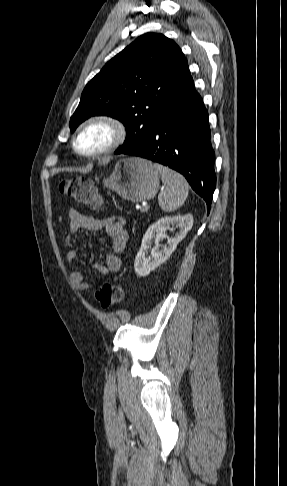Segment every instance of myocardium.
I'll use <instances>...</instances> for the list:
<instances>
[{
    "label": "myocardium",
    "instance_id": "obj_1",
    "mask_svg": "<svg viewBox=\"0 0 287 486\" xmlns=\"http://www.w3.org/2000/svg\"><path fill=\"white\" fill-rule=\"evenodd\" d=\"M94 126H104L110 132V141L104 147L95 151H82L79 149L77 142L79 137L88 129ZM127 137V129L125 124L112 115L99 114L87 118L83 121L77 128L73 140L72 146L76 153L83 157L95 158L105 154H108L116 150L120 145H122Z\"/></svg>",
    "mask_w": 287,
    "mask_h": 486
}]
</instances>
